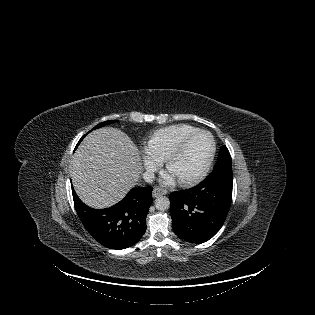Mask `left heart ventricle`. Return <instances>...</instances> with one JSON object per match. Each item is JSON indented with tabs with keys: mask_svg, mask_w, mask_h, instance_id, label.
Returning a JSON list of instances; mask_svg holds the SVG:
<instances>
[{
	"mask_svg": "<svg viewBox=\"0 0 315 315\" xmlns=\"http://www.w3.org/2000/svg\"><path fill=\"white\" fill-rule=\"evenodd\" d=\"M211 149L206 134H198L186 145L184 151L170 166V172L177 179L187 178L198 173L204 166Z\"/></svg>",
	"mask_w": 315,
	"mask_h": 315,
	"instance_id": "left-heart-ventricle-1",
	"label": "left heart ventricle"
}]
</instances>
